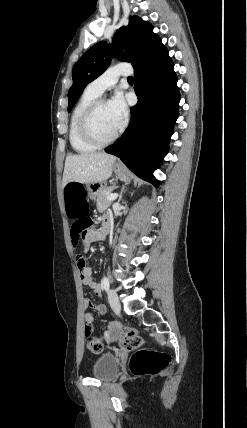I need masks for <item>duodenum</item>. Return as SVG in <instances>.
<instances>
[{
	"mask_svg": "<svg viewBox=\"0 0 247 428\" xmlns=\"http://www.w3.org/2000/svg\"><path fill=\"white\" fill-rule=\"evenodd\" d=\"M109 228H110V219L106 218L103 220L102 226H101V232L103 236L107 234V232L109 231Z\"/></svg>",
	"mask_w": 247,
	"mask_h": 428,
	"instance_id": "410a0bca",
	"label": "duodenum"
}]
</instances>
